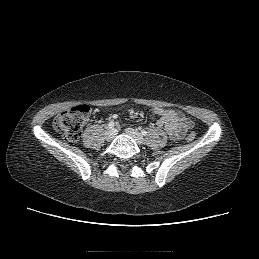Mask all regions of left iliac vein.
<instances>
[{"label": "left iliac vein", "mask_w": 259, "mask_h": 259, "mask_svg": "<svg viewBox=\"0 0 259 259\" xmlns=\"http://www.w3.org/2000/svg\"><path fill=\"white\" fill-rule=\"evenodd\" d=\"M126 133L131 136L135 142L138 144V145H141L144 143V138L143 136L137 132L136 130L132 129V128H127L126 129Z\"/></svg>", "instance_id": "obj_1"}]
</instances>
